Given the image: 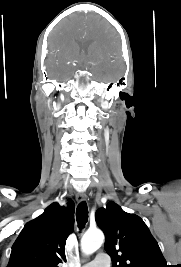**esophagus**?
<instances>
[{
    "label": "esophagus",
    "mask_w": 181,
    "mask_h": 267,
    "mask_svg": "<svg viewBox=\"0 0 181 267\" xmlns=\"http://www.w3.org/2000/svg\"><path fill=\"white\" fill-rule=\"evenodd\" d=\"M88 199V196L85 193H79L77 195V200L80 202L86 201Z\"/></svg>",
    "instance_id": "34e87169"
}]
</instances>
